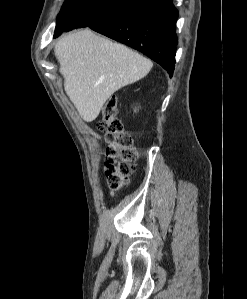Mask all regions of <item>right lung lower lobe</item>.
<instances>
[{
	"mask_svg": "<svg viewBox=\"0 0 247 299\" xmlns=\"http://www.w3.org/2000/svg\"><path fill=\"white\" fill-rule=\"evenodd\" d=\"M177 18L172 0H133L120 13L90 28L144 53L172 76Z\"/></svg>",
	"mask_w": 247,
	"mask_h": 299,
	"instance_id": "98d812e1",
	"label": "right lung lower lobe"
}]
</instances>
